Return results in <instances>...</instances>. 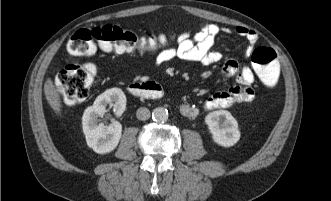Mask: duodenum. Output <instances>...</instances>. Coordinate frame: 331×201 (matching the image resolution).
<instances>
[{
	"label": "duodenum",
	"instance_id": "duodenum-1",
	"mask_svg": "<svg viewBox=\"0 0 331 201\" xmlns=\"http://www.w3.org/2000/svg\"><path fill=\"white\" fill-rule=\"evenodd\" d=\"M127 90L131 95L145 99L159 100L164 96L161 86L154 82L133 81L127 85Z\"/></svg>",
	"mask_w": 331,
	"mask_h": 201
}]
</instances>
